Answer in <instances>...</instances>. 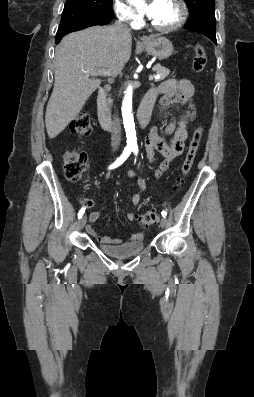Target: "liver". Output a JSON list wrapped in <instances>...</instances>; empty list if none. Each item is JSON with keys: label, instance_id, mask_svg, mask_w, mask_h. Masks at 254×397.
I'll return each instance as SVG.
<instances>
[{"label": "liver", "instance_id": "1", "mask_svg": "<svg viewBox=\"0 0 254 397\" xmlns=\"http://www.w3.org/2000/svg\"><path fill=\"white\" fill-rule=\"evenodd\" d=\"M132 39L119 37L114 26H94L66 35L56 47L54 88L45 124L53 139L80 113L101 80L90 79L103 68L118 74L131 56Z\"/></svg>", "mask_w": 254, "mask_h": 397}]
</instances>
